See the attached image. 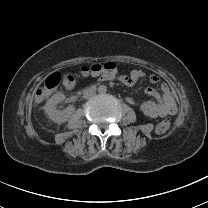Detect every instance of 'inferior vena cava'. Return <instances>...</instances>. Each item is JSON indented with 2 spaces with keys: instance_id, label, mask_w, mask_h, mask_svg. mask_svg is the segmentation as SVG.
<instances>
[{
  "instance_id": "1",
  "label": "inferior vena cava",
  "mask_w": 208,
  "mask_h": 208,
  "mask_svg": "<svg viewBox=\"0 0 208 208\" xmlns=\"http://www.w3.org/2000/svg\"><path fill=\"white\" fill-rule=\"evenodd\" d=\"M96 94V91L92 88H86L84 91H83V97L85 99H90L92 98L93 96H95Z\"/></svg>"
}]
</instances>
